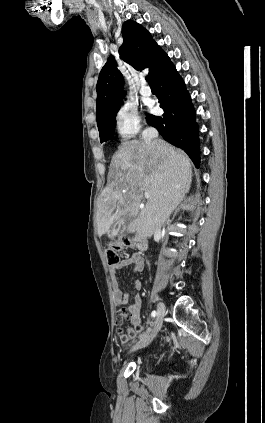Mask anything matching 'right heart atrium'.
Instances as JSON below:
<instances>
[{
	"instance_id": "d8ad5b80",
	"label": "right heart atrium",
	"mask_w": 265,
	"mask_h": 423,
	"mask_svg": "<svg viewBox=\"0 0 265 423\" xmlns=\"http://www.w3.org/2000/svg\"><path fill=\"white\" fill-rule=\"evenodd\" d=\"M141 116L135 104L124 101L114 114V124L120 136L128 138L138 132L141 127Z\"/></svg>"
}]
</instances>
